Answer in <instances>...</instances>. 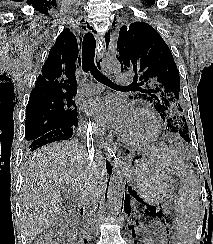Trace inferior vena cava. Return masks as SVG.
Returning a JSON list of instances; mask_svg holds the SVG:
<instances>
[{
    "label": "inferior vena cava",
    "instance_id": "inferior-vena-cava-1",
    "mask_svg": "<svg viewBox=\"0 0 213 244\" xmlns=\"http://www.w3.org/2000/svg\"><path fill=\"white\" fill-rule=\"evenodd\" d=\"M89 154V160L91 161L90 163L92 164L94 160V150L89 149L88 150ZM91 168L93 167L92 165L90 166ZM97 202V196L95 194H92L90 196H87L83 208L85 210L86 217L88 219V222H91V217L95 214V204Z\"/></svg>",
    "mask_w": 213,
    "mask_h": 244
}]
</instances>
